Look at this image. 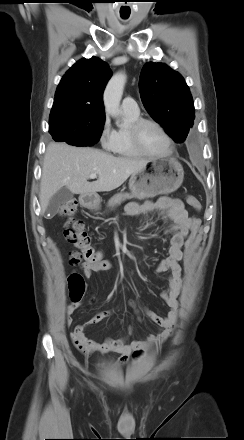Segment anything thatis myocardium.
<instances>
[{
  "instance_id": "obj_1",
  "label": "myocardium",
  "mask_w": 244,
  "mask_h": 440,
  "mask_svg": "<svg viewBox=\"0 0 244 440\" xmlns=\"http://www.w3.org/2000/svg\"><path fill=\"white\" fill-rule=\"evenodd\" d=\"M146 125H153L157 127L162 134L165 136L167 142H168V149L166 152L162 154H153L148 151H146L143 147V144L141 142V130ZM128 136L130 139V142L134 149L138 151L141 155L151 156V157H161L169 155L174 150V140L171 137L170 133L167 131V129L159 122L153 119L149 118H139L135 121H133L129 127H128Z\"/></svg>"
}]
</instances>
